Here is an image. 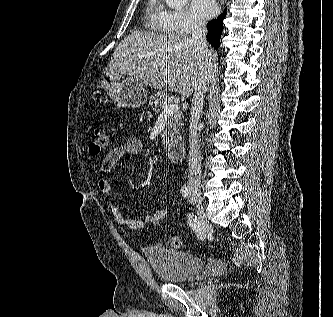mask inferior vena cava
I'll list each match as a JSON object with an SVG mask.
<instances>
[{
  "mask_svg": "<svg viewBox=\"0 0 333 317\" xmlns=\"http://www.w3.org/2000/svg\"><path fill=\"white\" fill-rule=\"evenodd\" d=\"M191 41L197 44L202 50L211 54L206 40L207 29L199 22L191 25ZM213 60L209 59L208 73L202 75L193 94V100L190 110L189 126V155H188V183L192 189H199L201 175V151L197 134V124L203 109L204 95L208 89L211 79V70Z\"/></svg>",
  "mask_w": 333,
  "mask_h": 317,
  "instance_id": "602c4592",
  "label": "inferior vena cava"
}]
</instances>
